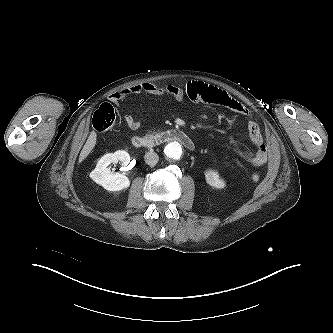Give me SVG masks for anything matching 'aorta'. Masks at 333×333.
Returning <instances> with one entry per match:
<instances>
[{
  "instance_id": "762f6f07",
  "label": "aorta",
  "mask_w": 333,
  "mask_h": 333,
  "mask_svg": "<svg viewBox=\"0 0 333 333\" xmlns=\"http://www.w3.org/2000/svg\"><path fill=\"white\" fill-rule=\"evenodd\" d=\"M165 154L169 159L179 160L183 155L182 145L177 141L170 142L165 147Z\"/></svg>"
}]
</instances>
